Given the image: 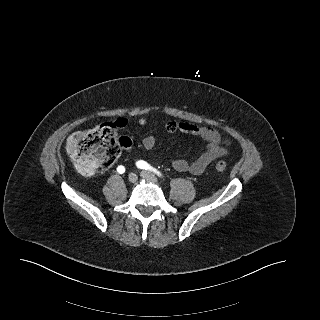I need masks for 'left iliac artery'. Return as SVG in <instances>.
Segmentation results:
<instances>
[{"label": "left iliac artery", "mask_w": 320, "mask_h": 320, "mask_svg": "<svg viewBox=\"0 0 320 320\" xmlns=\"http://www.w3.org/2000/svg\"><path fill=\"white\" fill-rule=\"evenodd\" d=\"M136 165L138 168L153 171L154 173H156L160 177L163 176L160 171H158L157 169H155L154 167H152L151 165H149L147 162H145L143 160L137 161Z\"/></svg>", "instance_id": "obj_1"}]
</instances>
